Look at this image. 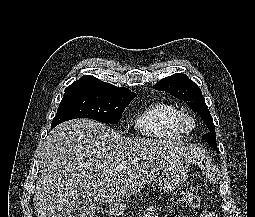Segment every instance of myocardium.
Masks as SVG:
<instances>
[{"mask_svg": "<svg viewBox=\"0 0 255 217\" xmlns=\"http://www.w3.org/2000/svg\"><path fill=\"white\" fill-rule=\"evenodd\" d=\"M178 121L180 127L186 133L192 132L196 128V120L189 114L181 113Z\"/></svg>", "mask_w": 255, "mask_h": 217, "instance_id": "1", "label": "myocardium"}]
</instances>
